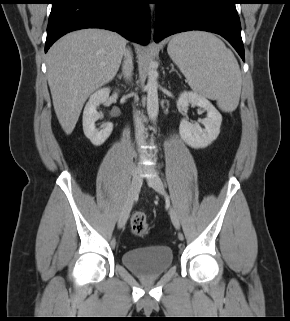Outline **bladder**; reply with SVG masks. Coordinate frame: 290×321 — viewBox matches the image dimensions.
<instances>
[{
	"label": "bladder",
	"instance_id": "31cf9c89",
	"mask_svg": "<svg viewBox=\"0 0 290 321\" xmlns=\"http://www.w3.org/2000/svg\"><path fill=\"white\" fill-rule=\"evenodd\" d=\"M173 251L163 246H149L123 252V264L141 277L150 278L164 273L173 263Z\"/></svg>",
	"mask_w": 290,
	"mask_h": 321
}]
</instances>
